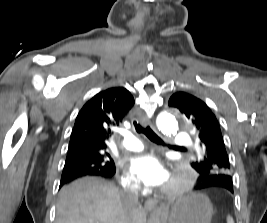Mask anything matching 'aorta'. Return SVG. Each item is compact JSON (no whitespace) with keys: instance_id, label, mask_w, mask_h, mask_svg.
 Wrapping results in <instances>:
<instances>
[{"instance_id":"obj_1","label":"aorta","mask_w":267,"mask_h":223,"mask_svg":"<svg viewBox=\"0 0 267 223\" xmlns=\"http://www.w3.org/2000/svg\"><path fill=\"white\" fill-rule=\"evenodd\" d=\"M157 126L166 135H175L178 132V121L175 115L165 114L157 119ZM149 223H159L158 210H154Z\"/></svg>"}]
</instances>
